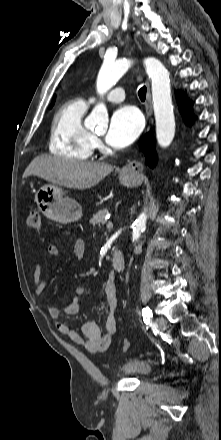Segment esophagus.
Listing matches in <instances>:
<instances>
[{"instance_id":"obj_1","label":"esophagus","mask_w":221,"mask_h":440,"mask_svg":"<svg viewBox=\"0 0 221 440\" xmlns=\"http://www.w3.org/2000/svg\"><path fill=\"white\" fill-rule=\"evenodd\" d=\"M146 87H147V93H146L145 110H146V117L150 119L152 115V102H151V93L148 82L146 83ZM142 171H143V164L137 160H132L127 162L122 168V172L130 176H138L142 173Z\"/></svg>"}]
</instances>
